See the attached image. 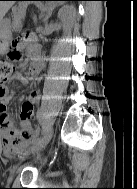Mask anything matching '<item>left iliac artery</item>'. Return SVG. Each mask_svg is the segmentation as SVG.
I'll use <instances>...</instances> for the list:
<instances>
[{"label":"left iliac artery","instance_id":"obj_1","mask_svg":"<svg viewBox=\"0 0 137 189\" xmlns=\"http://www.w3.org/2000/svg\"><path fill=\"white\" fill-rule=\"evenodd\" d=\"M40 133H42V130H39V133H35V138L32 140L34 144L38 143L40 141Z\"/></svg>","mask_w":137,"mask_h":189}]
</instances>
